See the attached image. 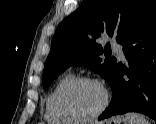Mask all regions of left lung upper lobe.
Listing matches in <instances>:
<instances>
[{
	"instance_id": "5c2ea615",
	"label": "left lung upper lobe",
	"mask_w": 156,
	"mask_h": 124,
	"mask_svg": "<svg viewBox=\"0 0 156 124\" xmlns=\"http://www.w3.org/2000/svg\"><path fill=\"white\" fill-rule=\"evenodd\" d=\"M153 0H84L57 27L43 73V87L71 65H84L110 83L117 60L96 40L116 36L123 44L142 20ZM105 54L104 61L99 55Z\"/></svg>"
}]
</instances>
